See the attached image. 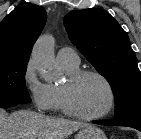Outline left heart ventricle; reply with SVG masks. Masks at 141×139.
Here are the masks:
<instances>
[{
    "instance_id": "obj_1",
    "label": "left heart ventricle",
    "mask_w": 141,
    "mask_h": 139,
    "mask_svg": "<svg viewBox=\"0 0 141 139\" xmlns=\"http://www.w3.org/2000/svg\"><path fill=\"white\" fill-rule=\"evenodd\" d=\"M71 98L74 107L86 115L102 113L109 102V94L105 84L94 76L80 79L72 88Z\"/></svg>"
}]
</instances>
